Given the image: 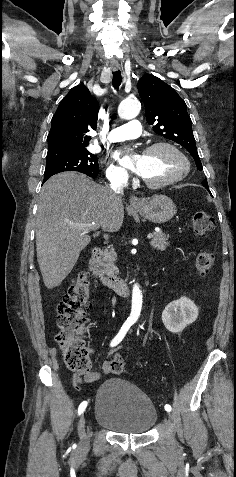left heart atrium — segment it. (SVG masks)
I'll return each mask as SVG.
<instances>
[{
    "label": "left heart atrium",
    "instance_id": "obj_1",
    "mask_svg": "<svg viewBox=\"0 0 236 477\" xmlns=\"http://www.w3.org/2000/svg\"><path fill=\"white\" fill-rule=\"evenodd\" d=\"M142 157L143 155H120V161L124 166L132 170L137 174H141L142 171Z\"/></svg>",
    "mask_w": 236,
    "mask_h": 477
}]
</instances>
